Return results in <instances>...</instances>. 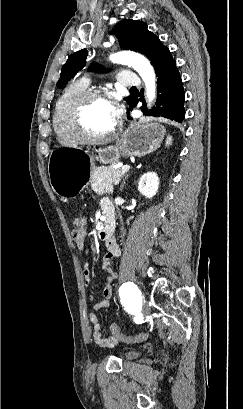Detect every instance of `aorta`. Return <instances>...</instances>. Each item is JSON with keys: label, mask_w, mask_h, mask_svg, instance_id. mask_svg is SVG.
<instances>
[{"label": "aorta", "mask_w": 243, "mask_h": 409, "mask_svg": "<svg viewBox=\"0 0 243 409\" xmlns=\"http://www.w3.org/2000/svg\"><path fill=\"white\" fill-rule=\"evenodd\" d=\"M113 63L132 67L142 78L146 86L148 105L156 97V76L153 67L144 56L133 52H119L110 56Z\"/></svg>", "instance_id": "1"}]
</instances>
